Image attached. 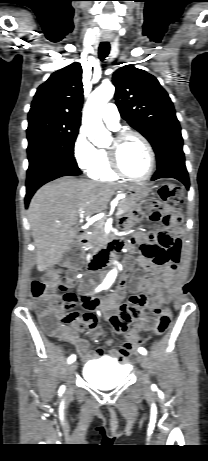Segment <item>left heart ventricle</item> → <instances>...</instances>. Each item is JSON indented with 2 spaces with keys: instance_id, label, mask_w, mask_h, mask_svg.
<instances>
[{
  "instance_id": "left-heart-ventricle-1",
  "label": "left heart ventricle",
  "mask_w": 208,
  "mask_h": 461,
  "mask_svg": "<svg viewBox=\"0 0 208 461\" xmlns=\"http://www.w3.org/2000/svg\"><path fill=\"white\" fill-rule=\"evenodd\" d=\"M114 139L108 148L114 147ZM119 161L123 170L135 177L144 176L149 168V154L144 144L136 137L126 139L119 149Z\"/></svg>"
}]
</instances>
